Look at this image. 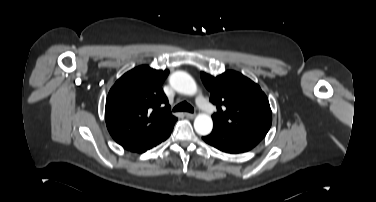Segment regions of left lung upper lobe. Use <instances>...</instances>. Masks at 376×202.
Returning a JSON list of instances; mask_svg holds the SVG:
<instances>
[{"mask_svg": "<svg viewBox=\"0 0 376 202\" xmlns=\"http://www.w3.org/2000/svg\"><path fill=\"white\" fill-rule=\"evenodd\" d=\"M201 79L210 91V101L217 106L214 124L263 139L272 123L268 99L261 88L235 71L213 77L201 72Z\"/></svg>", "mask_w": 376, "mask_h": 202, "instance_id": "1", "label": "left lung upper lobe"}]
</instances>
